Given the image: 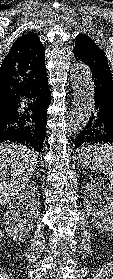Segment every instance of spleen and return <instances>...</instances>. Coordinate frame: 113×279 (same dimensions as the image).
Here are the masks:
<instances>
[{"instance_id":"obj_1","label":"spleen","mask_w":113,"mask_h":279,"mask_svg":"<svg viewBox=\"0 0 113 279\" xmlns=\"http://www.w3.org/2000/svg\"><path fill=\"white\" fill-rule=\"evenodd\" d=\"M81 164L91 170L100 171L109 180V189L113 192V145L94 144L80 150Z\"/></svg>"}]
</instances>
